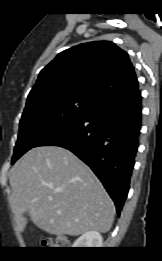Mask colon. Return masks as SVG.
I'll return each mask as SVG.
<instances>
[{"instance_id": "obj_1", "label": "colon", "mask_w": 162, "mask_h": 261, "mask_svg": "<svg viewBox=\"0 0 162 261\" xmlns=\"http://www.w3.org/2000/svg\"><path fill=\"white\" fill-rule=\"evenodd\" d=\"M65 245H66L65 242H62L60 240H53V239H49V240L45 241V243H44L45 247L55 248V249H59Z\"/></svg>"}]
</instances>
